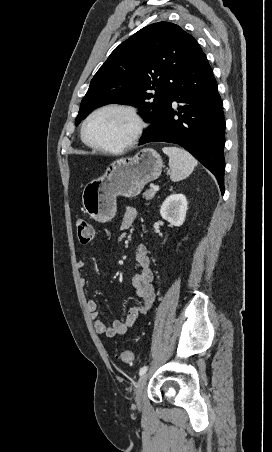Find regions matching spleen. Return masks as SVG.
Instances as JSON below:
<instances>
[{
  "label": "spleen",
  "instance_id": "spleen-1",
  "mask_svg": "<svg viewBox=\"0 0 272 452\" xmlns=\"http://www.w3.org/2000/svg\"><path fill=\"white\" fill-rule=\"evenodd\" d=\"M162 151L169 157L170 179L173 182L187 178L197 166V160L186 150L179 147H163Z\"/></svg>",
  "mask_w": 272,
  "mask_h": 452
}]
</instances>
